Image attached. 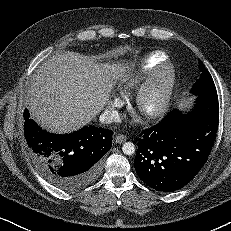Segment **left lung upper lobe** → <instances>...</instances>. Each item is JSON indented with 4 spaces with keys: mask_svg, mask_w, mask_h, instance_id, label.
Listing matches in <instances>:
<instances>
[{
    "mask_svg": "<svg viewBox=\"0 0 231 231\" xmlns=\"http://www.w3.org/2000/svg\"><path fill=\"white\" fill-rule=\"evenodd\" d=\"M200 71L202 72L200 78L196 81L191 89V93L198 96L217 94L213 79L207 69H205L202 62H199Z\"/></svg>",
    "mask_w": 231,
    "mask_h": 231,
    "instance_id": "5c2ea615",
    "label": "left lung upper lobe"
}]
</instances>
